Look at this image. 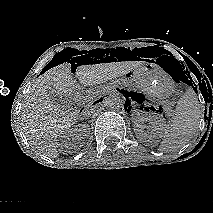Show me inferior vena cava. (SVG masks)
Wrapping results in <instances>:
<instances>
[{
    "label": "inferior vena cava",
    "instance_id": "602c4592",
    "mask_svg": "<svg viewBox=\"0 0 213 213\" xmlns=\"http://www.w3.org/2000/svg\"><path fill=\"white\" fill-rule=\"evenodd\" d=\"M94 113H95V109L93 107H86L85 111L83 112V115L85 117H89V116H91Z\"/></svg>",
    "mask_w": 213,
    "mask_h": 213
}]
</instances>
